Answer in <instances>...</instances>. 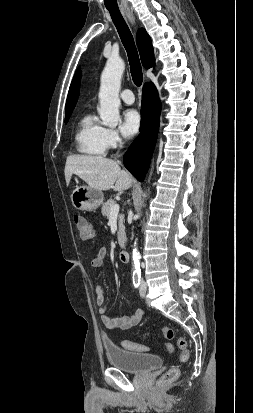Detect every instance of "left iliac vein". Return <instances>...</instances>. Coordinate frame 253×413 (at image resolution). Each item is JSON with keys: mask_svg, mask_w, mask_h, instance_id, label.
<instances>
[{"mask_svg": "<svg viewBox=\"0 0 253 413\" xmlns=\"http://www.w3.org/2000/svg\"><path fill=\"white\" fill-rule=\"evenodd\" d=\"M146 291H147L146 282L144 280H142L140 290H139L140 296L142 298H144L146 296Z\"/></svg>", "mask_w": 253, "mask_h": 413, "instance_id": "4c4485c4", "label": "left iliac vein"}]
</instances>
